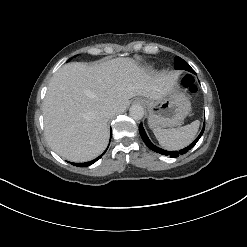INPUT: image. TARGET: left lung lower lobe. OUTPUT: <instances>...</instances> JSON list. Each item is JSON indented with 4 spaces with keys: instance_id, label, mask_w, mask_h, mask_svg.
<instances>
[{
    "instance_id": "obj_1",
    "label": "left lung lower lobe",
    "mask_w": 247,
    "mask_h": 247,
    "mask_svg": "<svg viewBox=\"0 0 247 247\" xmlns=\"http://www.w3.org/2000/svg\"><path fill=\"white\" fill-rule=\"evenodd\" d=\"M195 73V72H194ZM196 74V73H195ZM204 129H205V123H204V126H203V129L201 131V133L199 134V136L189 145L187 146L186 148L184 149H181L179 151H166V150H163L157 146H155L148 138V136L146 135V132L143 128V125L142 123L140 124L139 126V132H140V135L144 141V143L148 146L149 149L157 152V153H161L163 155H166V156H170V157H178L180 154H185L188 150H190L197 142L198 140L200 139V137L202 136L203 132H204Z\"/></svg>"
}]
</instances>
